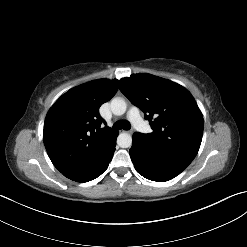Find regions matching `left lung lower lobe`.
<instances>
[{
    "instance_id": "obj_1",
    "label": "left lung lower lobe",
    "mask_w": 247,
    "mask_h": 247,
    "mask_svg": "<svg viewBox=\"0 0 247 247\" xmlns=\"http://www.w3.org/2000/svg\"><path fill=\"white\" fill-rule=\"evenodd\" d=\"M129 154L136 171L152 181L164 182L171 180L187 167L185 164L163 156L134 136Z\"/></svg>"
}]
</instances>
